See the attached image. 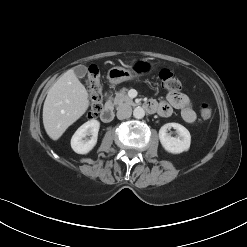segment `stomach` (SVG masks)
<instances>
[{
  "label": "stomach",
  "mask_w": 247,
  "mask_h": 247,
  "mask_svg": "<svg viewBox=\"0 0 247 247\" xmlns=\"http://www.w3.org/2000/svg\"><path fill=\"white\" fill-rule=\"evenodd\" d=\"M154 68L153 63L147 59H136L131 63L130 68L112 67L108 70L107 78L111 84H119L132 80Z\"/></svg>",
  "instance_id": "stomach-1"
}]
</instances>
